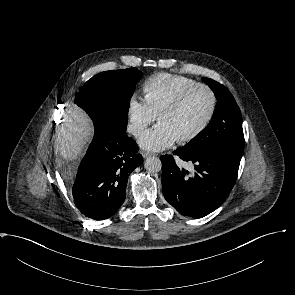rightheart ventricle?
<instances>
[{
    "mask_svg": "<svg viewBox=\"0 0 295 295\" xmlns=\"http://www.w3.org/2000/svg\"><path fill=\"white\" fill-rule=\"evenodd\" d=\"M195 83L189 77L157 73L150 76L143 85L145 99L158 116L181 92Z\"/></svg>",
    "mask_w": 295,
    "mask_h": 295,
    "instance_id": "obj_1",
    "label": "right heart ventricle"
}]
</instances>
